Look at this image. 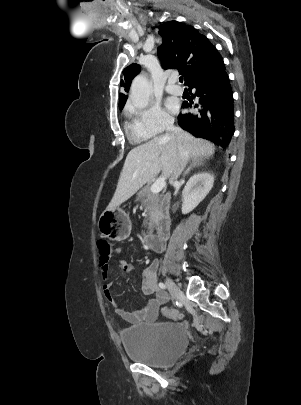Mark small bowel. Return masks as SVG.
Instances as JSON below:
<instances>
[{"mask_svg":"<svg viewBox=\"0 0 301 405\" xmlns=\"http://www.w3.org/2000/svg\"><path fill=\"white\" fill-rule=\"evenodd\" d=\"M115 254L120 256L121 250L115 249ZM112 252L108 257L100 256V273L101 277L105 280L107 279L110 266L109 260L112 257ZM157 262H151L143 271H142V281H141V290L145 295L154 296L150 299L148 303L141 309L136 311H125L120 308H116V312L124 320L132 324H138L141 322H153L158 318L160 307L166 303L168 296L164 292H161L156 287V271H157ZM120 267L124 272L132 271V266L123 258L120 259ZM103 294L106 300L114 304V298L111 290V286L108 283L103 285Z\"/></svg>","mask_w":301,"mask_h":405,"instance_id":"small-bowel-1","label":"small bowel"}]
</instances>
